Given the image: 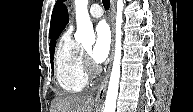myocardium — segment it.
<instances>
[{"mask_svg":"<svg viewBox=\"0 0 193 112\" xmlns=\"http://www.w3.org/2000/svg\"><path fill=\"white\" fill-rule=\"evenodd\" d=\"M83 62L84 67L87 74H94L96 72V68L92 66L88 58V52L85 49H82Z\"/></svg>","mask_w":193,"mask_h":112,"instance_id":"1","label":"myocardium"}]
</instances>
